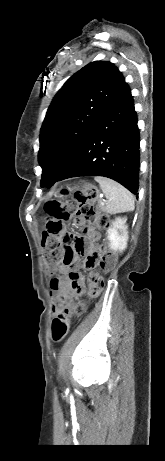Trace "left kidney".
<instances>
[{"label":"left kidney","mask_w":165,"mask_h":461,"mask_svg":"<svg viewBox=\"0 0 165 461\" xmlns=\"http://www.w3.org/2000/svg\"><path fill=\"white\" fill-rule=\"evenodd\" d=\"M126 221V217H117L113 222V226L108 230L107 238L110 242V248L114 251L122 252L127 247L128 226Z\"/></svg>","instance_id":"1"}]
</instances>
